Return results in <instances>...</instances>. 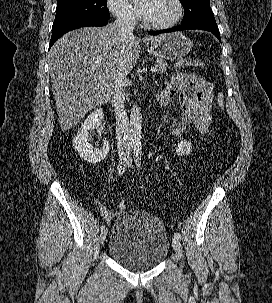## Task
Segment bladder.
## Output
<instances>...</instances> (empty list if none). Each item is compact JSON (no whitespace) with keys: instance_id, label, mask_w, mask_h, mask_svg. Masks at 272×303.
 Returning a JSON list of instances; mask_svg holds the SVG:
<instances>
[{"instance_id":"1","label":"bladder","mask_w":272,"mask_h":303,"mask_svg":"<svg viewBox=\"0 0 272 303\" xmlns=\"http://www.w3.org/2000/svg\"><path fill=\"white\" fill-rule=\"evenodd\" d=\"M169 247L168 232L160 219L149 212L128 210L114 222L108 253L127 269L144 271L163 262Z\"/></svg>"}]
</instances>
